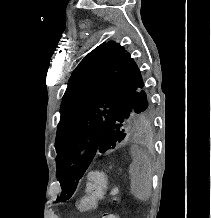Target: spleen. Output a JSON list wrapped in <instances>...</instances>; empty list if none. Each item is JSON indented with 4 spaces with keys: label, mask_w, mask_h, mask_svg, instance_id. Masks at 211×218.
<instances>
[{
    "label": "spleen",
    "mask_w": 211,
    "mask_h": 218,
    "mask_svg": "<svg viewBox=\"0 0 211 218\" xmlns=\"http://www.w3.org/2000/svg\"><path fill=\"white\" fill-rule=\"evenodd\" d=\"M133 162L129 166L131 192L135 198L146 202L151 196V168L142 152H132Z\"/></svg>",
    "instance_id": "obj_1"
}]
</instances>
